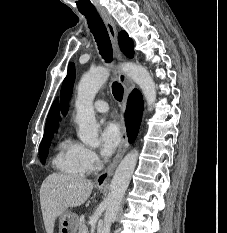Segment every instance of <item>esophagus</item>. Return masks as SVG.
I'll return each mask as SVG.
<instances>
[{
	"mask_svg": "<svg viewBox=\"0 0 227 233\" xmlns=\"http://www.w3.org/2000/svg\"><path fill=\"white\" fill-rule=\"evenodd\" d=\"M98 13L101 16L111 39V43L113 46L114 54L117 58L118 61L123 60L122 53L119 48L118 44V33L116 26L110 17V15L104 10V9H98ZM119 81L122 83L125 91L124 95V101L121 107V118L123 122V131H122V140L121 143L118 147L117 153L115 157L113 158L112 162L108 165V167L97 177L96 179V186L98 187H103L106 186L115 170L119 162L121 161L122 157L124 156L125 152L127 151L129 147V142L128 138L126 135V130L124 126V115L126 112V102H127V97L128 94L135 88V84L133 81L124 73L120 72L119 73Z\"/></svg>",
	"mask_w": 227,
	"mask_h": 233,
	"instance_id": "34e87169",
	"label": "esophagus"
}]
</instances>
